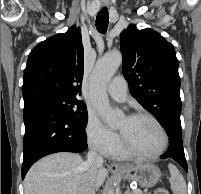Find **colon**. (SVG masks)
I'll return each mask as SVG.
<instances>
[{
    "instance_id": "5ec220e1",
    "label": "colon",
    "mask_w": 201,
    "mask_h": 194,
    "mask_svg": "<svg viewBox=\"0 0 201 194\" xmlns=\"http://www.w3.org/2000/svg\"><path fill=\"white\" fill-rule=\"evenodd\" d=\"M155 194H169V192L165 188H158Z\"/></svg>"
}]
</instances>
